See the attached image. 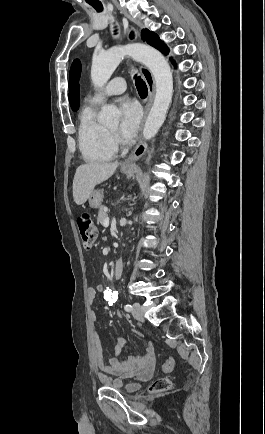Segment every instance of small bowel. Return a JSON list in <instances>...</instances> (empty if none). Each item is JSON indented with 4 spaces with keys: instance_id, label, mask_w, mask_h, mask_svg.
Returning <instances> with one entry per match:
<instances>
[{
    "instance_id": "c3829d8e",
    "label": "small bowel",
    "mask_w": 265,
    "mask_h": 434,
    "mask_svg": "<svg viewBox=\"0 0 265 434\" xmlns=\"http://www.w3.org/2000/svg\"><path fill=\"white\" fill-rule=\"evenodd\" d=\"M105 288L103 284H96L87 290V298L90 303H93L98 293H103ZM116 315L119 318H124V313L121 310H116ZM93 320L97 319L95 312L91 313ZM142 337V334L137 333ZM94 346V362L99 368L100 376L105 381L106 387H120L121 381L127 378H135L138 381L145 382L149 380L154 373V360L155 348L153 343L149 342L142 355L123 358L121 356L122 350L126 346V341L123 338H118L116 347L109 357H105V351L102 341L97 332H94L93 337ZM112 374L118 378H112Z\"/></svg>"
}]
</instances>
